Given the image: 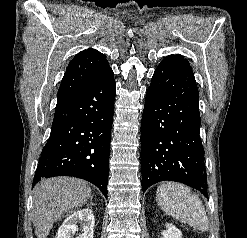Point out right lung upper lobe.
<instances>
[{
    "label": "right lung upper lobe",
    "instance_id": "obj_1",
    "mask_svg": "<svg viewBox=\"0 0 247 238\" xmlns=\"http://www.w3.org/2000/svg\"><path fill=\"white\" fill-rule=\"evenodd\" d=\"M109 68L104 55L96 49L89 48L78 53L70 61L61 81L57 105L85 89Z\"/></svg>",
    "mask_w": 247,
    "mask_h": 238
}]
</instances>
